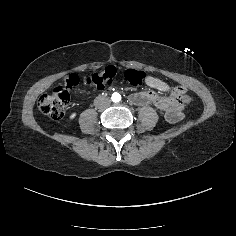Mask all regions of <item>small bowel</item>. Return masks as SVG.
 I'll use <instances>...</instances> for the list:
<instances>
[{"instance_id":"obj_1","label":"small bowel","mask_w":236,"mask_h":236,"mask_svg":"<svg viewBox=\"0 0 236 236\" xmlns=\"http://www.w3.org/2000/svg\"><path fill=\"white\" fill-rule=\"evenodd\" d=\"M150 85L154 86L155 84L151 81V82H150Z\"/></svg>"}]
</instances>
